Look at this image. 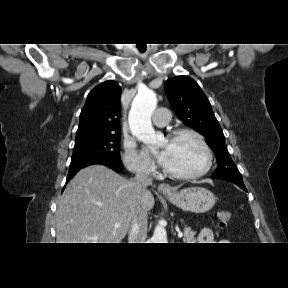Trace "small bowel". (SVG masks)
<instances>
[{
    "instance_id": "small-bowel-1",
    "label": "small bowel",
    "mask_w": 288,
    "mask_h": 288,
    "mask_svg": "<svg viewBox=\"0 0 288 288\" xmlns=\"http://www.w3.org/2000/svg\"><path fill=\"white\" fill-rule=\"evenodd\" d=\"M199 243H214V234L213 231L209 228H204L200 231L199 237H198ZM218 243H228L227 240L222 239Z\"/></svg>"
}]
</instances>
